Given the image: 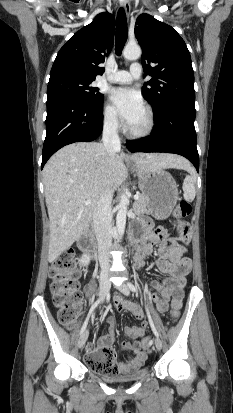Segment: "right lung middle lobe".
I'll list each match as a JSON object with an SVG mask.
<instances>
[{
	"label": "right lung middle lobe",
	"mask_w": 233,
	"mask_h": 413,
	"mask_svg": "<svg viewBox=\"0 0 233 413\" xmlns=\"http://www.w3.org/2000/svg\"><path fill=\"white\" fill-rule=\"evenodd\" d=\"M94 80L78 77H63L49 81L47 99L57 96H69L94 108L103 107V95L98 88L91 86Z\"/></svg>",
	"instance_id": "1"
}]
</instances>
